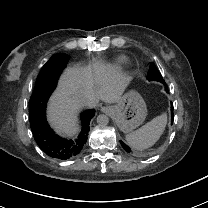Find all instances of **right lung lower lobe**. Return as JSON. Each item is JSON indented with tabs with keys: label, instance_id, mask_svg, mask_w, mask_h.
Returning a JSON list of instances; mask_svg holds the SVG:
<instances>
[{
	"label": "right lung lower lobe",
	"instance_id": "1",
	"mask_svg": "<svg viewBox=\"0 0 208 208\" xmlns=\"http://www.w3.org/2000/svg\"><path fill=\"white\" fill-rule=\"evenodd\" d=\"M67 61L65 58L49 59L38 75L29 104L30 126L36 143L45 154L58 160H67L81 151L87 141L90 120L95 115L94 109L82 113V130L75 140L61 138L47 123V101Z\"/></svg>",
	"mask_w": 208,
	"mask_h": 208
}]
</instances>
